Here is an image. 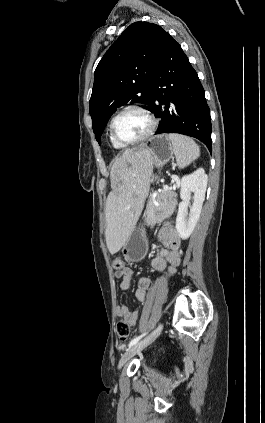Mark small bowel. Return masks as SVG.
<instances>
[{
  "mask_svg": "<svg viewBox=\"0 0 265 423\" xmlns=\"http://www.w3.org/2000/svg\"><path fill=\"white\" fill-rule=\"evenodd\" d=\"M159 240L162 244V249L151 260V266L154 270L164 272L167 277L174 274L176 267L180 264L181 254L179 251L181 239L168 221H164L159 233ZM116 277L121 280L120 288L127 291L130 288L132 270L124 266L122 271H116ZM150 288V279L142 277L138 280L135 292L136 299L140 302L146 300L147 293ZM117 317L122 318L128 322L129 325L135 326L138 323V313L130 311L125 306H117L115 309Z\"/></svg>",
  "mask_w": 265,
  "mask_h": 423,
  "instance_id": "1",
  "label": "small bowel"
}]
</instances>
